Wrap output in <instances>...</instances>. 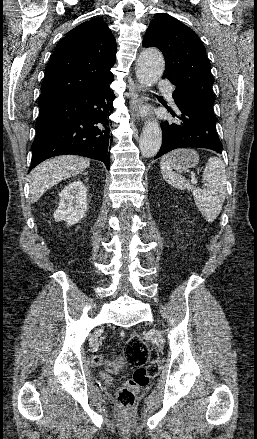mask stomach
Here are the masks:
<instances>
[{
    "instance_id": "obj_1",
    "label": "stomach",
    "mask_w": 257,
    "mask_h": 439,
    "mask_svg": "<svg viewBox=\"0 0 257 439\" xmlns=\"http://www.w3.org/2000/svg\"><path fill=\"white\" fill-rule=\"evenodd\" d=\"M199 155L192 149H178L171 153L170 166L177 172H184L195 167Z\"/></svg>"
}]
</instances>
